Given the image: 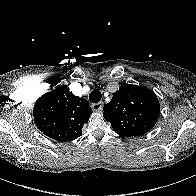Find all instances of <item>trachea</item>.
Here are the masks:
<instances>
[{
	"instance_id": "trachea-1",
	"label": "trachea",
	"mask_w": 196,
	"mask_h": 196,
	"mask_svg": "<svg viewBox=\"0 0 196 196\" xmlns=\"http://www.w3.org/2000/svg\"><path fill=\"white\" fill-rule=\"evenodd\" d=\"M102 98V94L99 90L95 89L93 90L90 95H89V99L92 103H98Z\"/></svg>"
}]
</instances>
